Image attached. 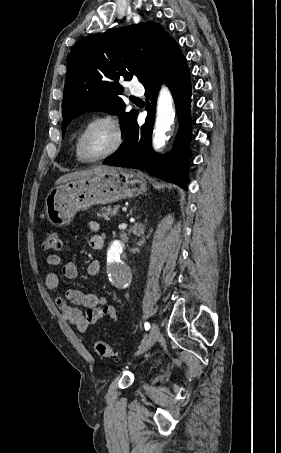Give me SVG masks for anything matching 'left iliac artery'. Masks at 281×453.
Listing matches in <instances>:
<instances>
[{
    "label": "left iliac artery",
    "instance_id": "1",
    "mask_svg": "<svg viewBox=\"0 0 281 453\" xmlns=\"http://www.w3.org/2000/svg\"><path fill=\"white\" fill-rule=\"evenodd\" d=\"M144 326H145V329H146V330H149V329H150V324H149L148 322H146V323L144 324Z\"/></svg>",
    "mask_w": 281,
    "mask_h": 453
}]
</instances>
